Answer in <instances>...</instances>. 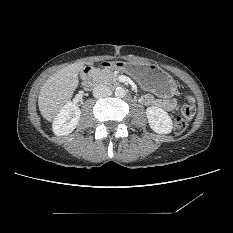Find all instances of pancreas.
I'll use <instances>...</instances> for the list:
<instances>
[{
    "label": "pancreas",
    "instance_id": "cf45deb5",
    "mask_svg": "<svg viewBox=\"0 0 233 233\" xmlns=\"http://www.w3.org/2000/svg\"><path fill=\"white\" fill-rule=\"evenodd\" d=\"M95 79L101 84H110L116 82V75L108 69H96Z\"/></svg>",
    "mask_w": 233,
    "mask_h": 233
}]
</instances>
